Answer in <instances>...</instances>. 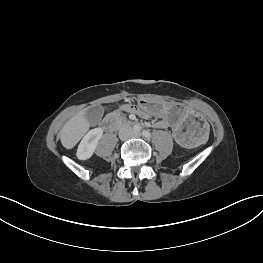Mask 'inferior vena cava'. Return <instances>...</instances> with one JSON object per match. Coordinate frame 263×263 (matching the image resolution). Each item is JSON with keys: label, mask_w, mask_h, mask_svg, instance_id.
Here are the masks:
<instances>
[{"label": "inferior vena cava", "mask_w": 263, "mask_h": 263, "mask_svg": "<svg viewBox=\"0 0 263 263\" xmlns=\"http://www.w3.org/2000/svg\"><path fill=\"white\" fill-rule=\"evenodd\" d=\"M131 135H132V129L130 127H127V126L123 127L119 131V137L121 139H127L131 137Z\"/></svg>", "instance_id": "602c4592"}]
</instances>
